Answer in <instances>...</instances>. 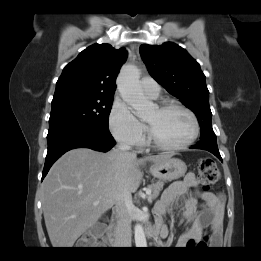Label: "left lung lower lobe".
<instances>
[{
	"mask_svg": "<svg viewBox=\"0 0 261 261\" xmlns=\"http://www.w3.org/2000/svg\"><path fill=\"white\" fill-rule=\"evenodd\" d=\"M192 149H202L207 150L214 154L219 160L222 161L220 156L218 147H217V140L215 138H205L200 140L196 145L191 147Z\"/></svg>",
	"mask_w": 261,
	"mask_h": 261,
	"instance_id": "left-lung-lower-lobe-1",
	"label": "left lung lower lobe"
}]
</instances>
